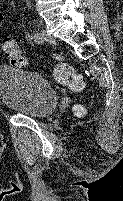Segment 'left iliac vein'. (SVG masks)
<instances>
[{
	"label": "left iliac vein",
	"instance_id": "obj_1",
	"mask_svg": "<svg viewBox=\"0 0 123 201\" xmlns=\"http://www.w3.org/2000/svg\"><path fill=\"white\" fill-rule=\"evenodd\" d=\"M40 35H41V38H42L41 42L46 41L47 43H49L51 45L56 44L55 38L52 35L48 34L45 30H42L40 32Z\"/></svg>",
	"mask_w": 123,
	"mask_h": 201
}]
</instances>
